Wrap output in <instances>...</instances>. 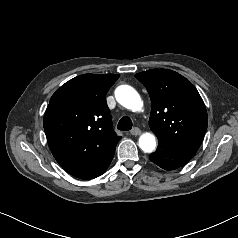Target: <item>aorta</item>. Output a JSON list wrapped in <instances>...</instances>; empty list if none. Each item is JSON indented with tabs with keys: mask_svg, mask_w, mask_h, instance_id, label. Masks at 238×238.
I'll list each match as a JSON object with an SVG mask.
<instances>
[{
	"mask_svg": "<svg viewBox=\"0 0 238 238\" xmlns=\"http://www.w3.org/2000/svg\"><path fill=\"white\" fill-rule=\"evenodd\" d=\"M115 98L123 107L132 111H140L143 103L138 92L129 85L118 86L115 90ZM138 145L146 153H151L156 148V138L152 133H143L139 137Z\"/></svg>",
	"mask_w": 238,
	"mask_h": 238,
	"instance_id": "aorta-1",
	"label": "aorta"
}]
</instances>
